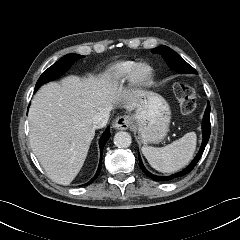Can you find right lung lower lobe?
<instances>
[{
    "mask_svg": "<svg viewBox=\"0 0 240 240\" xmlns=\"http://www.w3.org/2000/svg\"><path fill=\"white\" fill-rule=\"evenodd\" d=\"M110 137V130H109V127L106 129V131L104 132V134L102 135L100 141H99V146H100V163H99V166H98V170L95 174V176L92 178V180L85 184V185H89L90 183H92L99 175L100 171H101V161H102V151H103V148H104V145L105 143L107 142V140L109 139Z\"/></svg>",
    "mask_w": 240,
    "mask_h": 240,
    "instance_id": "obj_1",
    "label": "right lung lower lobe"
}]
</instances>
